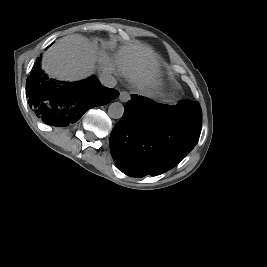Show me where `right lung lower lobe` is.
I'll list each match as a JSON object with an SVG mask.
<instances>
[{"instance_id":"1","label":"right lung lower lobe","mask_w":267,"mask_h":267,"mask_svg":"<svg viewBox=\"0 0 267 267\" xmlns=\"http://www.w3.org/2000/svg\"><path fill=\"white\" fill-rule=\"evenodd\" d=\"M26 96L30 108L44 123L65 127L78 121L87 110L116 99L119 92L100 86L95 76L71 83L47 78L37 61L26 81Z\"/></svg>"}]
</instances>
